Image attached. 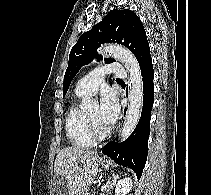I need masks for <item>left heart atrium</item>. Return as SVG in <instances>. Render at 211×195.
<instances>
[{
  "label": "left heart atrium",
  "instance_id": "39dd6f15",
  "mask_svg": "<svg viewBox=\"0 0 211 195\" xmlns=\"http://www.w3.org/2000/svg\"><path fill=\"white\" fill-rule=\"evenodd\" d=\"M119 115V106L115 96L110 92H105L101 96L99 118L107 127L113 125Z\"/></svg>",
  "mask_w": 211,
  "mask_h": 195
}]
</instances>
